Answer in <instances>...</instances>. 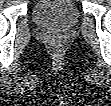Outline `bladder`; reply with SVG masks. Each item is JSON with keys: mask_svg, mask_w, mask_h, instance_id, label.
<instances>
[{"mask_svg": "<svg viewBox=\"0 0 111 106\" xmlns=\"http://www.w3.org/2000/svg\"><path fill=\"white\" fill-rule=\"evenodd\" d=\"M33 20L41 27L67 30L80 19V11L71 0H40L32 10Z\"/></svg>", "mask_w": 111, "mask_h": 106, "instance_id": "obj_1", "label": "bladder"}]
</instances>
